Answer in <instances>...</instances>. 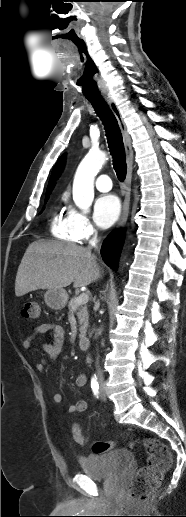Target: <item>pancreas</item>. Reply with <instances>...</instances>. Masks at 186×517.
Here are the masks:
<instances>
[{"label":"pancreas","mask_w":186,"mask_h":517,"mask_svg":"<svg viewBox=\"0 0 186 517\" xmlns=\"http://www.w3.org/2000/svg\"><path fill=\"white\" fill-rule=\"evenodd\" d=\"M76 299H77V297H73L69 301L68 308L71 309V310L72 309L76 310V315L78 317V321H79V325H80L79 337L82 338V337L85 336L86 331H87L89 316H88L87 305L86 304L76 305L75 304Z\"/></svg>","instance_id":"obj_1"}]
</instances>
